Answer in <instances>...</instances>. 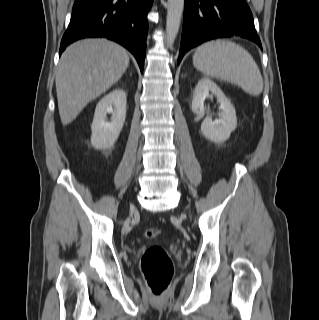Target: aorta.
I'll list each match as a JSON object with an SVG mask.
<instances>
[{
    "instance_id": "obj_1",
    "label": "aorta",
    "mask_w": 319,
    "mask_h": 320,
    "mask_svg": "<svg viewBox=\"0 0 319 320\" xmlns=\"http://www.w3.org/2000/svg\"><path fill=\"white\" fill-rule=\"evenodd\" d=\"M183 8L184 0H168L166 41L169 47H172L179 31Z\"/></svg>"
}]
</instances>
